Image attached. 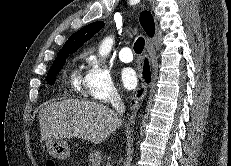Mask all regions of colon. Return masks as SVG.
<instances>
[{
    "label": "colon",
    "mask_w": 231,
    "mask_h": 166,
    "mask_svg": "<svg viewBox=\"0 0 231 166\" xmlns=\"http://www.w3.org/2000/svg\"><path fill=\"white\" fill-rule=\"evenodd\" d=\"M46 166H55V163L52 160L47 161Z\"/></svg>",
    "instance_id": "1"
}]
</instances>
